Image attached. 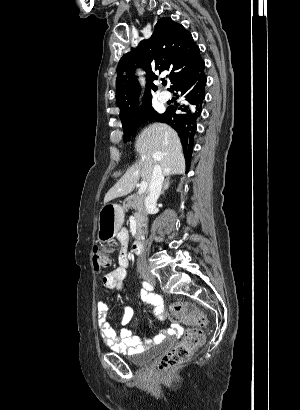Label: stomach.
Returning <instances> with one entry per match:
<instances>
[{
    "label": "stomach",
    "mask_w": 300,
    "mask_h": 410,
    "mask_svg": "<svg viewBox=\"0 0 300 410\" xmlns=\"http://www.w3.org/2000/svg\"><path fill=\"white\" fill-rule=\"evenodd\" d=\"M124 222V209L119 204H105L99 213L98 240L115 237Z\"/></svg>",
    "instance_id": "obj_1"
}]
</instances>
